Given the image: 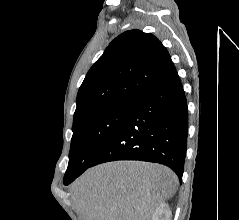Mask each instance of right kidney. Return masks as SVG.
Returning a JSON list of instances; mask_svg holds the SVG:
<instances>
[{
  "mask_svg": "<svg viewBox=\"0 0 239 220\" xmlns=\"http://www.w3.org/2000/svg\"><path fill=\"white\" fill-rule=\"evenodd\" d=\"M171 216L169 206L165 203H160L155 209L151 220H171Z\"/></svg>",
  "mask_w": 239,
  "mask_h": 220,
  "instance_id": "obj_1",
  "label": "right kidney"
}]
</instances>
